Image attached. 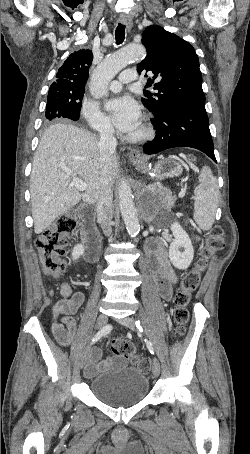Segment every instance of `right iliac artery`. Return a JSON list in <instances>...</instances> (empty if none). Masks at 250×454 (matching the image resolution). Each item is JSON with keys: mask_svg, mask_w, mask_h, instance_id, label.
Masks as SVG:
<instances>
[{"mask_svg": "<svg viewBox=\"0 0 250 454\" xmlns=\"http://www.w3.org/2000/svg\"><path fill=\"white\" fill-rule=\"evenodd\" d=\"M111 329H112L111 325H107V326L103 327L98 333H96L94 335V337L92 338L91 344L96 343L102 336L107 335L111 331Z\"/></svg>", "mask_w": 250, "mask_h": 454, "instance_id": "82829eb1", "label": "right iliac artery"}]
</instances>
